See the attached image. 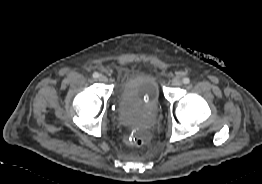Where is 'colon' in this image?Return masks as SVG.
I'll use <instances>...</instances> for the list:
<instances>
[{
	"label": "colon",
	"instance_id": "5ec220e1",
	"mask_svg": "<svg viewBox=\"0 0 262 184\" xmlns=\"http://www.w3.org/2000/svg\"><path fill=\"white\" fill-rule=\"evenodd\" d=\"M129 142L135 147H141L145 144V139L140 135H134L129 138Z\"/></svg>",
	"mask_w": 262,
	"mask_h": 184
}]
</instances>
